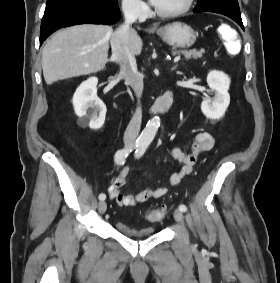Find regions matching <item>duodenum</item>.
<instances>
[{
  "mask_svg": "<svg viewBox=\"0 0 280 283\" xmlns=\"http://www.w3.org/2000/svg\"><path fill=\"white\" fill-rule=\"evenodd\" d=\"M173 102V96L171 91L165 92L151 107V112L155 115H163L166 114Z\"/></svg>",
  "mask_w": 280,
  "mask_h": 283,
  "instance_id": "duodenum-1",
  "label": "duodenum"
}]
</instances>
